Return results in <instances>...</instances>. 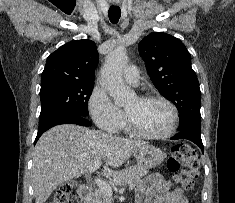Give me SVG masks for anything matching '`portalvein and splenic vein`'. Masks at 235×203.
I'll return each instance as SVG.
<instances>
[{
    "mask_svg": "<svg viewBox=\"0 0 235 203\" xmlns=\"http://www.w3.org/2000/svg\"><path fill=\"white\" fill-rule=\"evenodd\" d=\"M100 165H101V161L95 162V164L89 168L88 172L89 173L94 172L95 170H97L100 167ZM94 182L99 187V189L102 190L106 195L112 196V194H113L112 188L106 181L98 178V179H95ZM134 187H135L134 184H132V183L129 184L130 190H133Z\"/></svg>",
    "mask_w": 235,
    "mask_h": 203,
    "instance_id": "obj_1",
    "label": "portal vein and splenic vein"
}]
</instances>
